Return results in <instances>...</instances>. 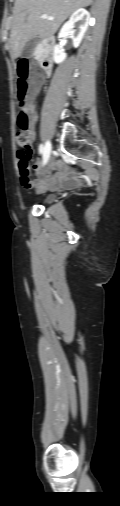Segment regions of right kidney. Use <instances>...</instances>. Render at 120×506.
<instances>
[{
	"label": "right kidney",
	"mask_w": 120,
	"mask_h": 506,
	"mask_svg": "<svg viewBox=\"0 0 120 506\" xmlns=\"http://www.w3.org/2000/svg\"><path fill=\"white\" fill-rule=\"evenodd\" d=\"M90 21V14L87 10L77 9L70 19L63 25L60 30L59 37H70L73 46L78 47L83 39ZM76 28V29H74ZM66 53L58 46L54 48L53 59L55 63H61L66 59Z\"/></svg>",
	"instance_id": "right-kidney-1"
}]
</instances>
